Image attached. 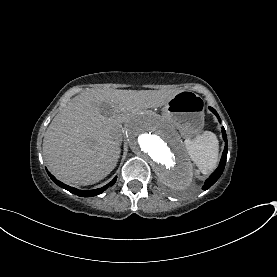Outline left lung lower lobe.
<instances>
[{"mask_svg":"<svg viewBox=\"0 0 277 277\" xmlns=\"http://www.w3.org/2000/svg\"><path fill=\"white\" fill-rule=\"evenodd\" d=\"M209 109L217 116V118L220 120V117L218 115V113L216 112L215 109H213L212 107H209ZM222 134H223V139L225 141V149L219 164V167L215 170V172L206 180L203 189L207 190L208 188H210L221 176V174L224 171V167H225V163H226V157H227V152H228V145H227V136H226V132L225 129L222 128Z\"/></svg>","mask_w":277,"mask_h":277,"instance_id":"1","label":"left lung lower lobe"}]
</instances>
